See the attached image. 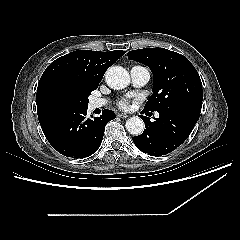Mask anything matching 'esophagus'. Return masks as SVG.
I'll use <instances>...</instances> for the list:
<instances>
[{
  "mask_svg": "<svg viewBox=\"0 0 240 240\" xmlns=\"http://www.w3.org/2000/svg\"><path fill=\"white\" fill-rule=\"evenodd\" d=\"M118 117H120V118H128L129 115L128 114H124V113H120V114H118Z\"/></svg>",
  "mask_w": 240,
  "mask_h": 240,
  "instance_id": "esophagus-1",
  "label": "esophagus"
}]
</instances>
